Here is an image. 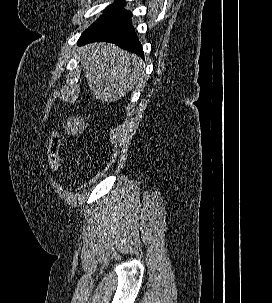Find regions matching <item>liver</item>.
<instances>
[{"label":"liver","mask_w":272,"mask_h":303,"mask_svg":"<svg viewBox=\"0 0 272 303\" xmlns=\"http://www.w3.org/2000/svg\"><path fill=\"white\" fill-rule=\"evenodd\" d=\"M84 75L93 99L102 103L118 101L144 78L142 60L114 44L92 43L81 49ZM87 124L84 118L67 120L65 133L82 134Z\"/></svg>","instance_id":"1"}]
</instances>
